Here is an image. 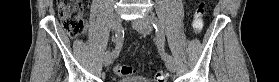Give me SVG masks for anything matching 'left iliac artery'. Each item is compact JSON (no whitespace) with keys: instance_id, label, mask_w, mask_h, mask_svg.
Listing matches in <instances>:
<instances>
[{"instance_id":"1","label":"left iliac artery","mask_w":279,"mask_h":82,"mask_svg":"<svg viewBox=\"0 0 279 82\" xmlns=\"http://www.w3.org/2000/svg\"><path fill=\"white\" fill-rule=\"evenodd\" d=\"M148 21L153 25L156 31V39L158 43V49L161 54V56L166 60H173V57L165 52L164 49V42H165V35H164V29L160 21L156 16H149Z\"/></svg>"}]
</instances>
